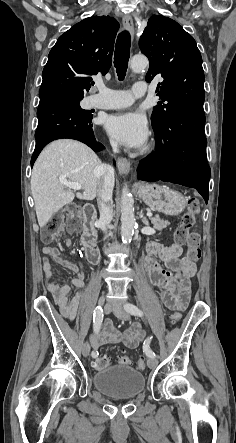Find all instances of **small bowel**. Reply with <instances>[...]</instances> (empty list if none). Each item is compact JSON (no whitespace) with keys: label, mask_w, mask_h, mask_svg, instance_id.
I'll return each mask as SVG.
<instances>
[{"label":"small bowel","mask_w":236,"mask_h":443,"mask_svg":"<svg viewBox=\"0 0 236 443\" xmlns=\"http://www.w3.org/2000/svg\"><path fill=\"white\" fill-rule=\"evenodd\" d=\"M65 243L67 246L72 244L70 239H67ZM43 253L45 255L43 271L46 278V287L64 316L73 319L84 297L85 283L82 263L63 258L57 247H44ZM182 253L181 246L177 244L163 246L158 243H150L148 255L144 262L147 277L151 284L159 288V294L164 305L179 311L185 310L189 304L191 278L196 272L195 263L188 257L182 256ZM52 262L76 274L71 279V284L59 285L53 281ZM71 286L80 289L73 297H69ZM141 338L142 335H140L138 325H135L128 333L120 334L113 330L111 321L106 320L102 329L95 332L91 337V346L97 349L101 345L121 341L129 348H136Z\"/></svg>","instance_id":"obj_1"}]
</instances>
